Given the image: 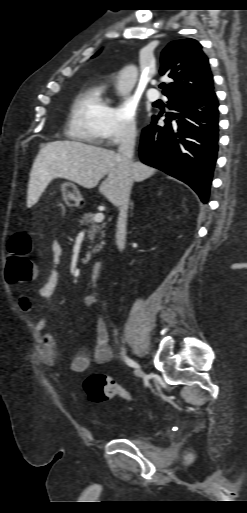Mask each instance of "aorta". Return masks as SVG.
<instances>
[{
  "label": "aorta",
  "instance_id": "762f6f07",
  "mask_svg": "<svg viewBox=\"0 0 247 513\" xmlns=\"http://www.w3.org/2000/svg\"><path fill=\"white\" fill-rule=\"evenodd\" d=\"M138 76V70L135 65H128L119 73L117 90L119 94L126 95L134 88Z\"/></svg>",
  "mask_w": 247,
  "mask_h": 513
}]
</instances>
